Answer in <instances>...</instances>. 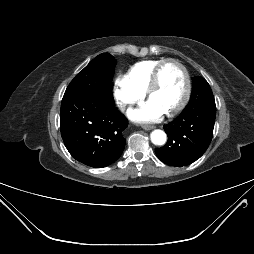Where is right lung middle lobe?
I'll list each match as a JSON object with an SVG mask.
<instances>
[{
	"mask_svg": "<svg viewBox=\"0 0 254 254\" xmlns=\"http://www.w3.org/2000/svg\"><path fill=\"white\" fill-rule=\"evenodd\" d=\"M115 65L116 60L109 53L98 55L75 76L64 95H80L98 102L112 99Z\"/></svg>",
	"mask_w": 254,
	"mask_h": 254,
	"instance_id": "1",
	"label": "right lung middle lobe"
}]
</instances>
